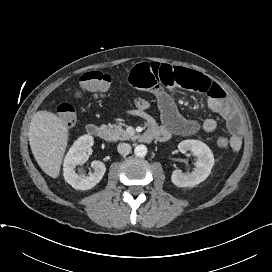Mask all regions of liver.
Instances as JSON below:
<instances>
[{"mask_svg":"<svg viewBox=\"0 0 272 272\" xmlns=\"http://www.w3.org/2000/svg\"><path fill=\"white\" fill-rule=\"evenodd\" d=\"M28 136L40 168L48 176L58 178L69 138L66 123L50 111H38L32 117Z\"/></svg>","mask_w":272,"mask_h":272,"instance_id":"obj_1","label":"liver"}]
</instances>
